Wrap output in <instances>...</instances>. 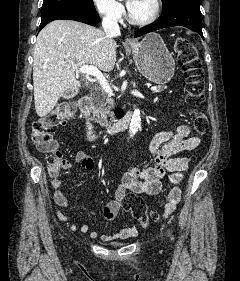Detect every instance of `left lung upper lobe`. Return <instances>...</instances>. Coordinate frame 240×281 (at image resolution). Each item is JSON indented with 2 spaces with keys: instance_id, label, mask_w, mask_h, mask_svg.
<instances>
[{
  "instance_id": "5c2ea615",
  "label": "left lung upper lobe",
  "mask_w": 240,
  "mask_h": 281,
  "mask_svg": "<svg viewBox=\"0 0 240 281\" xmlns=\"http://www.w3.org/2000/svg\"><path fill=\"white\" fill-rule=\"evenodd\" d=\"M173 1L175 0H162V5H163V8L162 9H165L167 6H169Z\"/></svg>"
}]
</instances>
